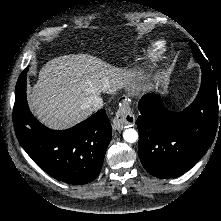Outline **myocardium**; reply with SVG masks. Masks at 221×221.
<instances>
[{
  "mask_svg": "<svg viewBox=\"0 0 221 221\" xmlns=\"http://www.w3.org/2000/svg\"><path fill=\"white\" fill-rule=\"evenodd\" d=\"M167 48H168L167 44L162 43L159 46L155 47L153 49V52L155 53V55L159 57V56H162L167 51Z\"/></svg>",
  "mask_w": 221,
  "mask_h": 221,
  "instance_id": "myocardium-1",
  "label": "myocardium"
}]
</instances>
